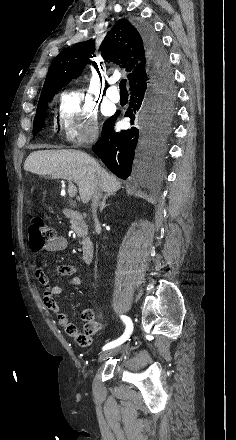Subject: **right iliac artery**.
<instances>
[{
    "label": "right iliac artery",
    "mask_w": 236,
    "mask_h": 440,
    "mask_svg": "<svg viewBox=\"0 0 236 440\" xmlns=\"http://www.w3.org/2000/svg\"><path fill=\"white\" fill-rule=\"evenodd\" d=\"M121 319L123 320V322H124L125 325H126V329H125L124 334H123L119 339H117V340H115V341H112V342L106 344V345L103 347V350L111 349V348H113V347H116V346L122 344V343L125 342V341L129 338V336L131 335V333H132V331H133V323H132L131 319H130L129 317H127V316H124V315L121 316Z\"/></svg>",
    "instance_id": "right-iliac-artery-1"
}]
</instances>
